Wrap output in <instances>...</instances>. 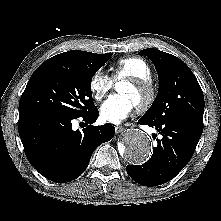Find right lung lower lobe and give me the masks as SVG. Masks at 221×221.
<instances>
[{"label": "right lung lower lobe", "mask_w": 221, "mask_h": 221, "mask_svg": "<svg viewBox=\"0 0 221 221\" xmlns=\"http://www.w3.org/2000/svg\"><path fill=\"white\" fill-rule=\"evenodd\" d=\"M98 115L95 108L81 116L87 127L74 131L71 121L79 117L51 110H20L18 131L31 165L45 178L57 183L79 177L94 150L111 140L115 133L110 124L92 126Z\"/></svg>", "instance_id": "1"}]
</instances>
